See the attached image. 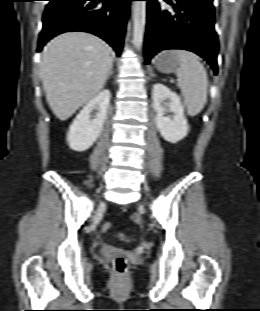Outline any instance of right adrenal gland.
Returning a JSON list of instances; mask_svg holds the SVG:
<instances>
[{
  "label": "right adrenal gland",
  "instance_id": "obj_1",
  "mask_svg": "<svg viewBox=\"0 0 260 311\" xmlns=\"http://www.w3.org/2000/svg\"><path fill=\"white\" fill-rule=\"evenodd\" d=\"M112 74H113V62H112V65H111V67H110V70H109V72H108V74H107L105 83L108 81L109 77H110Z\"/></svg>",
  "mask_w": 260,
  "mask_h": 311
}]
</instances>
